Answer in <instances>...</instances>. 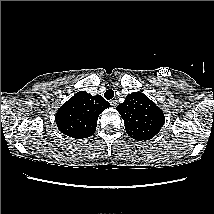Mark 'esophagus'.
<instances>
[{
	"label": "esophagus",
	"mask_w": 214,
	"mask_h": 214,
	"mask_svg": "<svg viewBox=\"0 0 214 214\" xmlns=\"http://www.w3.org/2000/svg\"><path fill=\"white\" fill-rule=\"evenodd\" d=\"M111 106L115 107L117 105V100H111L110 101Z\"/></svg>",
	"instance_id": "esophagus-1"
}]
</instances>
